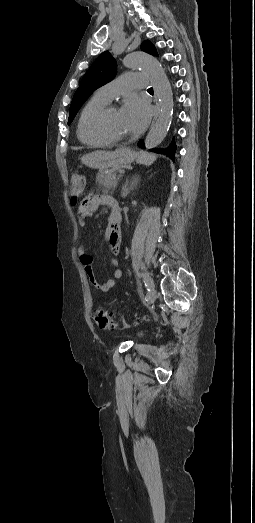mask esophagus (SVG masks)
I'll use <instances>...</instances> for the list:
<instances>
[{
	"label": "esophagus",
	"mask_w": 255,
	"mask_h": 523,
	"mask_svg": "<svg viewBox=\"0 0 255 523\" xmlns=\"http://www.w3.org/2000/svg\"><path fill=\"white\" fill-rule=\"evenodd\" d=\"M154 103H155V105H156V112H155V114H154V118H153V121H152V125L155 123V121H156V119H157V117L159 116V113H160V105H159V101H158V99L156 98V96H155V98H154Z\"/></svg>",
	"instance_id": "obj_1"
}]
</instances>
